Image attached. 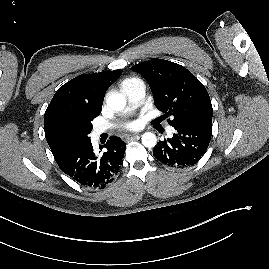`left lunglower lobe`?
I'll return each instance as SVG.
<instances>
[{"label": "left lung lower lobe", "instance_id": "0a47b994", "mask_svg": "<svg viewBox=\"0 0 269 269\" xmlns=\"http://www.w3.org/2000/svg\"><path fill=\"white\" fill-rule=\"evenodd\" d=\"M171 139L159 141L153 149L154 157L163 164L184 168L196 164L205 154L212 135V125L175 127Z\"/></svg>", "mask_w": 269, "mask_h": 269}]
</instances>
